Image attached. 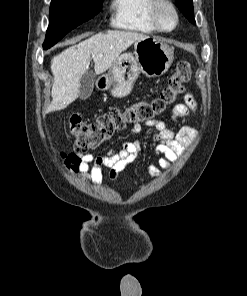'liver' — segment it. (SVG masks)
<instances>
[{
	"mask_svg": "<svg viewBox=\"0 0 247 296\" xmlns=\"http://www.w3.org/2000/svg\"><path fill=\"white\" fill-rule=\"evenodd\" d=\"M147 38L149 36L142 33L109 30L93 35L54 56L51 60L54 76L52 102L47 112L64 109L79 97L80 81L89 68L91 58L95 73L99 75L108 70L133 43Z\"/></svg>",
	"mask_w": 247,
	"mask_h": 296,
	"instance_id": "1",
	"label": "liver"
}]
</instances>
